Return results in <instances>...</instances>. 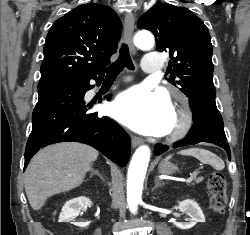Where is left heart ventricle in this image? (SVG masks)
<instances>
[{
  "label": "left heart ventricle",
  "instance_id": "1",
  "mask_svg": "<svg viewBox=\"0 0 250 235\" xmlns=\"http://www.w3.org/2000/svg\"><path fill=\"white\" fill-rule=\"evenodd\" d=\"M175 121H176V120H175V116H174V117H173V124H172V128H173V127H174V125H175ZM172 128H171V129H172Z\"/></svg>",
  "mask_w": 250,
  "mask_h": 235
}]
</instances>
